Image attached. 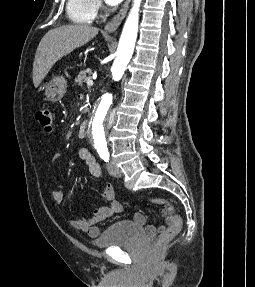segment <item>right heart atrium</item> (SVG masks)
<instances>
[{"instance_id": "obj_1", "label": "right heart atrium", "mask_w": 255, "mask_h": 287, "mask_svg": "<svg viewBox=\"0 0 255 287\" xmlns=\"http://www.w3.org/2000/svg\"><path fill=\"white\" fill-rule=\"evenodd\" d=\"M147 33H152V32H147ZM147 39H152V38H147Z\"/></svg>"}]
</instances>
